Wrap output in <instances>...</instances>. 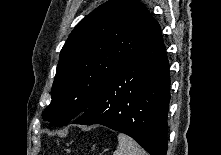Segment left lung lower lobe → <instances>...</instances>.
Masks as SVG:
<instances>
[{"label": "left lung lower lobe", "instance_id": "obj_1", "mask_svg": "<svg viewBox=\"0 0 221 155\" xmlns=\"http://www.w3.org/2000/svg\"><path fill=\"white\" fill-rule=\"evenodd\" d=\"M169 89L168 58L157 24L72 123L107 126L129 135L151 155H166Z\"/></svg>", "mask_w": 221, "mask_h": 155}]
</instances>
